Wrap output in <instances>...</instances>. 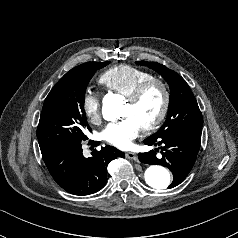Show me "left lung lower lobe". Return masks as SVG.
<instances>
[{
	"mask_svg": "<svg viewBox=\"0 0 238 238\" xmlns=\"http://www.w3.org/2000/svg\"><path fill=\"white\" fill-rule=\"evenodd\" d=\"M202 131L184 130L159 137H148L146 145L158 146V149L139 154V161L146 164L166 166L173 174L169 188L179 185L189 174L200 149ZM161 156H156V153Z\"/></svg>",
	"mask_w": 238,
	"mask_h": 238,
	"instance_id": "obj_1",
	"label": "left lung lower lobe"
}]
</instances>
